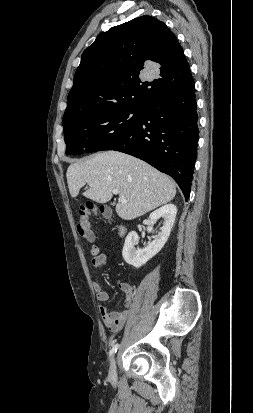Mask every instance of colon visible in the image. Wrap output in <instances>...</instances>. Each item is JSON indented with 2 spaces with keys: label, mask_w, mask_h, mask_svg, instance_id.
<instances>
[{
  "label": "colon",
  "mask_w": 253,
  "mask_h": 413,
  "mask_svg": "<svg viewBox=\"0 0 253 413\" xmlns=\"http://www.w3.org/2000/svg\"><path fill=\"white\" fill-rule=\"evenodd\" d=\"M99 213L104 219H110V211L105 206L96 207L93 204H87L82 206L79 210L77 220V232L79 236L85 241L92 243L95 239L94 233L91 228L90 217L92 214Z\"/></svg>",
  "instance_id": "1"
}]
</instances>
